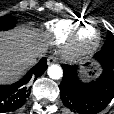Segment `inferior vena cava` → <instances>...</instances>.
<instances>
[{"mask_svg": "<svg viewBox=\"0 0 114 114\" xmlns=\"http://www.w3.org/2000/svg\"><path fill=\"white\" fill-rule=\"evenodd\" d=\"M39 57H41V54L35 53L30 55V60L35 61L36 58H39Z\"/></svg>", "mask_w": 114, "mask_h": 114, "instance_id": "inferior-vena-cava-1", "label": "inferior vena cava"}]
</instances>
